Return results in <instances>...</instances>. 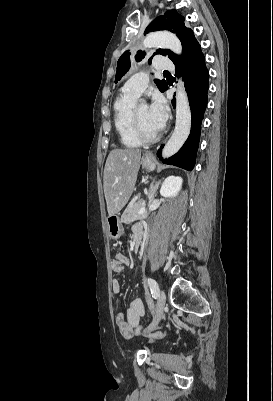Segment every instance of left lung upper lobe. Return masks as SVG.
<instances>
[{
    "instance_id": "obj_1",
    "label": "left lung upper lobe",
    "mask_w": 273,
    "mask_h": 401,
    "mask_svg": "<svg viewBox=\"0 0 273 401\" xmlns=\"http://www.w3.org/2000/svg\"><path fill=\"white\" fill-rule=\"evenodd\" d=\"M184 17L177 13L176 10L166 11L164 15H161L154 19L146 28L144 34H147L150 31L156 30H168L175 33L178 38L181 40L183 52L191 46L194 42H196V38L194 37V33L190 28L184 26ZM144 53L141 51L137 52L135 59L137 61H141L144 58ZM156 54H160L163 56H168L172 61L175 60L177 55H175L172 51L168 49H158L153 55L149 58L148 62L151 63L152 57ZM130 68V53L126 51L122 54L117 62V72L115 83L121 79V77L129 70ZM157 87L161 92H164L167 83L165 80H155Z\"/></svg>"
}]
</instances>
